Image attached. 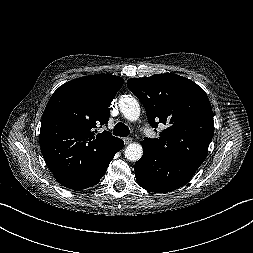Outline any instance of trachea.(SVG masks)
<instances>
[{"label":"trachea","mask_w":253,"mask_h":253,"mask_svg":"<svg viewBox=\"0 0 253 253\" xmlns=\"http://www.w3.org/2000/svg\"><path fill=\"white\" fill-rule=\"evenodd\" d=\"M113 134L120 137H127L130 134V130L124 123L119 122L115 125Z\"/></svg>","instance_id":"trachea-1"}]
</instances>
